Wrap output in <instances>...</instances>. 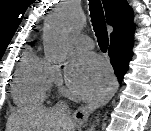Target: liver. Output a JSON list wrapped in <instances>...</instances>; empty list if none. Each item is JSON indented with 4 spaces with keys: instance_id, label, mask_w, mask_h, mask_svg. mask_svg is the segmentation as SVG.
Segmentation results:
<instances>
[{
    "instance_id": "6515ba94",
    "label": "liver",
    "mask_w": 151,
    "mask_h": 131,
    "mask_svg": "<svg viewBox=\"0 0 151 131\" xmlns=\"http://www.w3.org/2000/svg\"><path fill=\"white\" fill-rule=\"evenodd\" d=\"M7 131H74L59 107L19 109L8 118Z\"/></svg>"
}]
</instances>
